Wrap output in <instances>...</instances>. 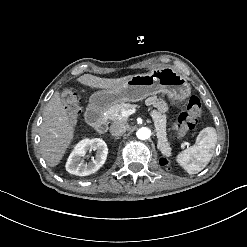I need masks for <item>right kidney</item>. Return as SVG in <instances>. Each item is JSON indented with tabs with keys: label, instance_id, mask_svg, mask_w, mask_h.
Returning a JSON list of instances; mask_svg holds the SVG:
<instances>
[{
	"label": "right kidney",
	"instance_id": "right-kidney-1",
	"mask_svg": "<svg viewBox=\"0 0 247 247\" xmlns=\"http://www.w3.org/2000/svg\"><path fill=\"white\" fill-rule=\"evenodd\" d=\"M96 150V156L91 162L84 163V157L87 151ZM108 147L104 140L100 138H85L76 144L71 152L67 162L66 170L70 174L77 176H87L95 173L106 161Z\"/></svg>",
	"mask_w": 247,
	"mask_h": 247
}]
</instances>
